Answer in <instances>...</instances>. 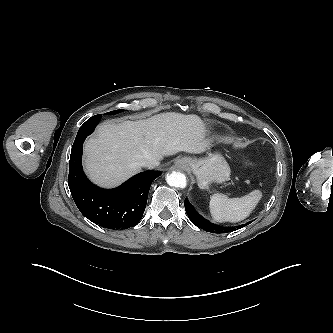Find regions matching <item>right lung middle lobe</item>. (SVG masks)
Listing matches in <instances>:
<instances>
[{
    "label": "right lung middle lobe",
    "instance_id": "obj_1",
    "mask_svg": "<svg viewBox=\"0 0 333 333\" xmlns=\"http://www.w3.org/2000/svg\"><path fill=\"white\" fill-rule=\"evenodd\" d=\"M123 110H116V111H112V112H109L108 114H117V113H120L122 112Z\"/></svg>",
    "mask_w": 333,
    "mask_h": 333
}]
</instances>
